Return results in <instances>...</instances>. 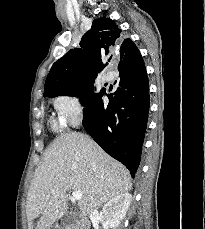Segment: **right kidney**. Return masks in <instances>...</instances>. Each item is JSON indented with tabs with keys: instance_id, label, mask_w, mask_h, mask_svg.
Instances as JSON below:
<instances>
[{
	"instance_id": "ca27d5eb",
	"label": "right kidney",
	"mask_w": 205,
	"mask_h": 229,
	"mask_svg": "<svg viewBox=\"0 0 205 229\" xmlns=\"http://www.w3.org/2000/svg\"><path fill=\"white\" fill-rule=\"evenodd\" d=\"M132 202V195L129 193L120 194L107 202L102 213L106 220V227L116 229L126 216V212Z\"/></svg>"
}]
</instances>
